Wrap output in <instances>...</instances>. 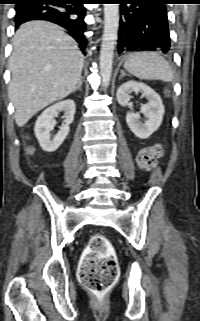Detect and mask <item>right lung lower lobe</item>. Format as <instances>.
<instances>
[{
    "mask_svg": "<svg viewBox=\"0 0 200 321\" xmlns=\"http://www.w3.org/2000/svg\"><path fill=\"white\" fill-rule=\"evenodd\" d=\"M85 0H21L15 6V26L31 20H46L60 25L79 43L86 48L84 31Z\"/></svg>",
    "mask_w": 200,
    "mask_h": 321,
    "instance_id": "1",
    "label": "right lung lower lobe"
}]
</instances>
